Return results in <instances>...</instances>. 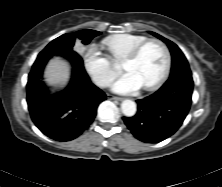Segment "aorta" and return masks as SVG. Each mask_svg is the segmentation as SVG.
Returning a JSON list of instances; mask_svg holds the SVG:
<instances>
[{
	"label": "aorta",
	"instance_id": "aorta-1",
	"mask_svg": "<svg viewBox=\"0 0 222 187\" xmlns=\"http://www.w3.org/2000/svg\"><path fill=\"white\" fill-rule=\"evenodd\" d=\"M121 109L125 116L132 117L136 113V104L134 101L126 99L121 103Z\"/></svg>",
	"mask_w": 222,
	"mask_h": 187
}]
</instances>
